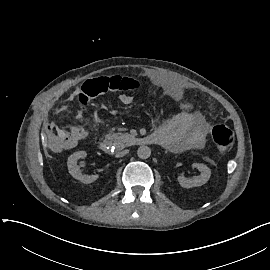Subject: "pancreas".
I'll return each instance as SVG.
<instances>
[{
    "label": "pancreas",
    "mask_w": 270,
    "mask_h": 270,
    "mask_svg": "<svg viewBox=\"0 0 270 270\" xmlns=\"http://www.w3.org/2000/svg\"><path fill=\"white\" fill-rule=\"evenodd\" d=\"M110 138L114 141V145L118 150L130 145V141L134 138L130 134L113 133Z\"/></svg>",
    "instance_id": "pancreas-1"
}]
</instances>
